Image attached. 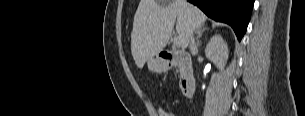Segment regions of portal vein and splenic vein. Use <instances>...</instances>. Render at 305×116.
Listing matches in <instances>:
<instances>
[{
	"mask_svg": "<svg viewBox=\"0 0 305 116\" xmlns=\"http://www.w3.org/2000/svg\"><path fill=\"white\" fill-rule=\"evenodd\" d=\"M173 44H174L175 46H177V47L180 46V44H181V39H180L179 36L174 37Z\"/></svg>",
	"mask_w": 305,
	"mask_h": 116,
	"instance_id": "18ae733b",
	"label": "portal vein and splenic vein"
}]
</instances>
